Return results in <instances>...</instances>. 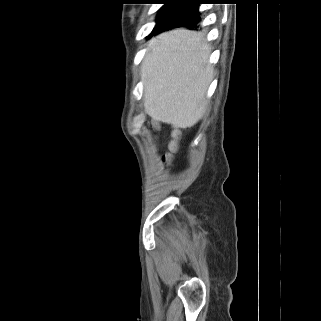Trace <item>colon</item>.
Returning a JSON list of instances; mask_svg holds the SVG:
<instances>
[{
	"label": "colon",
	"instance_id": "5ec220e1",
	"mask_svg": "<svg viewBox=\"0 0 321 321\" xmlns=\"http://www.w3.org/2000/svg\"><path fill=\"white\" fill-rule=\"evenodd\" d=\"M174 137H175V139L178 138V133H177V132L174 133ZM175 147H176V142L173 141L172 144H171L170 151L173 152V151L175 150ZM170 158H171V154H170V153H169V154H166V155L163 157V161H164V162H168V161L170 160Z\"/></svg>",
	"mask_w": 321,
	"mask_h": 321
}]
</instances>
